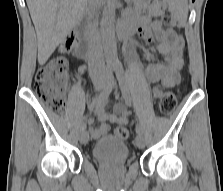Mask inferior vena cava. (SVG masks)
I'll return each mask as SVG.
<instances>
[{
  "label": "inferior vena cava",
  "mask_w": 223,
  "mask_h": 191,
  "mask_svg": "<svg viewBox=\"0 0 223 191\" xmlns=\"http://www.w3.org/2000/svg\"><path fill=\"white\" fill-rule=\"evenodd\" d=\"M99 0H88L87 6L91 17H95L99 9ZM90 47L92 50V60L89 64L90 72L93 75L96 71L100 73L104 71L105 63L103 58V49L101 39L98 32H94L90 38Z\"/></svg>",
  "instance_id": "inferior-vena-cava-1"
}]
</instances>
